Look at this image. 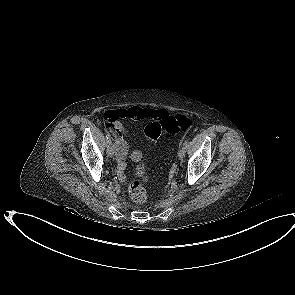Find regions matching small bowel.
Listing matches in <instances>:
<instances>
[{"instance_id":"1","label":"small bowel","mask_w":295,"mask_h":295,"mask_svg":"<svg viewBox=\"0 0 295 295\" xmlns=\"http://www.w3.org/2000/svg\"><path fill=\"white\" fill-rule=\"evenodd\" d=\"M167 116L164 110L146 109L143 107H131L129 109L111 110L105 113V120L112 126L110 128L111 133L115 139L117 150L118 168L116 169L117 181L122 183L124 187L131 185V180L126 178L125 166L126 157L128 152L127 141L122 135L127 133V130L123 122L132 120H150L154 122L162 121ZM148 140V139H147ZM142 158V152L140 150H134L131 153V159L135 162L140 161Z\"/></svg>"}]
</instances>
